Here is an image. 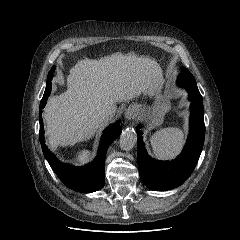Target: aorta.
Listing matches in <instances>:
<instances>
[{
	"label": "aorta",
	"instance_id": "aorta-1",
	"mask_svg": "<svg viewBox=\"0 0 240 240\" xmlns=\"http://www.w3.org/2000/svg\"><path fill=\"white\" fill-rule=\"evenodd\" d=\"M137 142V134L134 130L126 129L122 132L119 140L120 148L125 151L131 150Z\"/></svg>",
	"mask_w": 240,
	"mask_h": 240
}]
</instances>
